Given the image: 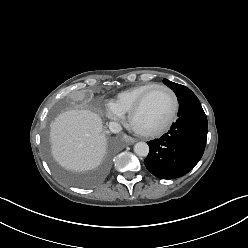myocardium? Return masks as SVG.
<instances>
[{
  "label": "myocardium",
  "instance_id": "1",
  "mask_svg": "<svg viewBox=\"0 0 248 248\" xmlns=\"http://www.w3.org/2000/svg\"><path fill=\"white\" fill-rule=\"evenodd\" d=\"M157 89H163L170 94L172 101H173V108H172L171 115L168 118V120L159 128H157L153 131H142L135 126V124H134L135 117L137 116L139 111L142 109L148 96L153 91H155ZM178 110H179V102H178V98H177L175 92L166 85L157 84V85L153 86L152 88L148 89L146 92H144L140 96V98L138 99L136 104L133 106V108L131 109L129 116H128L129 125L132 128V130L140 136H143L146 138H157V137L162 136L164 133H166L172 127V125L174 124V122L177 118Z\"/></svg>",
  "mask_w": 248,
  "mask_h": 248
}]
</instances>
